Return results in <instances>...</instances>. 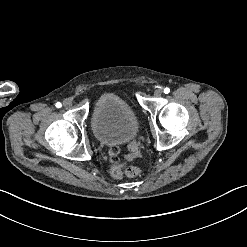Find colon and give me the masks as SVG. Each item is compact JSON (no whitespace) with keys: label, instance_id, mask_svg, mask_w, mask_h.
I'll use <instances>...</instances> for the list:
<instances>
[{"label":"colon","instance_id":"obj_1","mask_svg":"<svg viewBox=\"0 0 247 247\" xmlns=\"http://www.w3.org/2000/svg\"><path fill=\"white\" fill-rule=\"evenodd\" d=\"M130 151L133 154L137 155L140 152V147L136 143H132L130 145ZM122 159L118 163L112 165L110 169V174L113 177L116 178L122 177L124 180L129 181L131 179L142 178L146 175L147 170L142 165L132 166L130 168L125 169V167L128 165L127 163L131 162L133 159L131 153L129 152L124 153Z\"/></svg>","mask_w":247,"mask_h":247}]
</instances>
